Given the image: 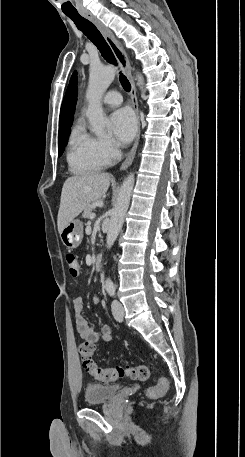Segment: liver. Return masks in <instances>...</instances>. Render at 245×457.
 I'll return each mask as SVG.
<instances>
[{
  "label": "liver",
  "instance_id": "1",
  "mask_svg": "<svg viewBox=\"0 0 245 457\" xmlns=\"http://www.w3.org/2000/svg\"><path fill=\"white\" fill-rule=\"evenodd\" d=\"M109 184L108 172H90V174L69 176L65 180L61 192L57 220L59 233H62L66 224L74 220L87 204L105 194Z\"/></svg>",
  "mask_w": 245,
  "mask_h": 457
}]
</instances>
